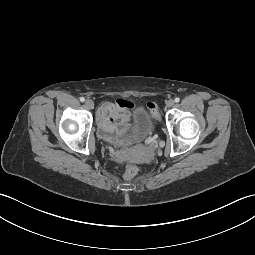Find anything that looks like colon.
Here are the masks:
<instances>
[{
  "label": "colon",
  "instance_id": "5ec220e1",
  "mask_svg": "<svg viewBox=\"0 0 255 255\" xmlns=\"http://www.w3.org/2000/svg\"><path fill=\"white\" fill-rule=\"evenodd\" d=\"M147 107L151 113V115L155 118V119H159V113H158V107L155 103L150 102L147 104ZM138 172L137 166L132 164V163H127L125 166V170H124V179L125 180H132L136 174Z\"/></svg>",
  "mask_w": 255,
  "mask_h": 255
}]
</instances>
